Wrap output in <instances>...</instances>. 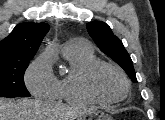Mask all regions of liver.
I'll use <instances>...</instances> for the list:
<instances>
[{"mask_svg": "<svg viewBox=\"0 0 165 120\" xmlns=\"http://www.w3.org/2000/svg\"><path fill=\"white\" fill-rule=\"evenodd\" d=\"M93 110L85 107L64 108L36 99L0 98V120H74Z\"/></svg>", "mask_w": 165, "mask_h": 120, "instance_id": "6515ba94", "label": "liver"}]
</instances>
